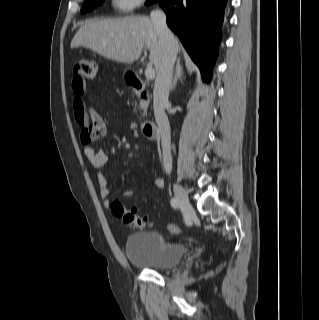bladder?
<instances>
[{
	"label": "bladder",
	"instance_id": "bladder-1",
	"mask_svg": "<svg viewBox=\"0 0 319 320\" xmlns=\"http://www.w3.org/2000/svg\"><path fill=\"white\" fill-rule=\"evenodd\" d=\"M124 251L133 265L165 271L180 264L185 255V246L178 240L165 238L159 232L146 231L128 235Z\"/></svg>",
	"mask_w": 319,
	"mask_h": 320
}]
</instances>
